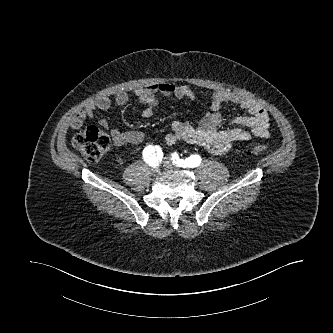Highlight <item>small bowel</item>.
Wrapping results in <instances>:
<instances>
[{"mask_svg":"<svg viewBox=\"0 0 333 333\" xmlns=\"http://www.w3.org/2000/svg\"><path fill=\"white\" fill-rule=\"evenodd\" d=\"M134 94L145 105L141 113L143 118H150L153 115L158 104V95L190 100L196 97L195 92L188 85L172 82L138 87L134 90ZM128 100V94L124 91H118L111 96L96 97L70 120L69 125L73 129H78L87 119L92 118L97 110L107 111L114 106H123ZM228 102L237 104L247 114L226 121L220 108ZM226 123L234 127L225 128ZM101 124L109 126L106 119L102 120ZM269 127L268 113L256 100L228 90H217L211 96L210 109L201 123L195 126L187 120L174 121L171 132L165 137V142L171 146L185 141L199 145L213 154H223L236 143L249 141L253 137H268ZM111 134L117 146H137L144 141V134L136 130L121 132L111 127Z\"/></svg>","mask_w":333,"mask_h":333,"instance_id":"1","label":"small bowel"}]
</instances>
